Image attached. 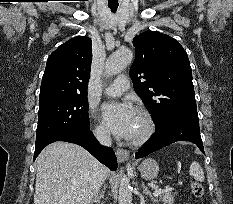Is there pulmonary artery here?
<instances>
[{
	"label": "pulmonary artery",
	"instance_id": "e3ab8cb5",
	"mask_svg": "<svg viewBox=\"0 0 233 204\" xmlns=\"http://www.w3.org/2000/svg\"><path fill=\"white\" fill-rule=\"evenodd\" d=\"M129 88V80L126 76H118L113 83L108 85L104 92L108 96H119Z\"/></svg>",
	"mask_w": 233,
	"mask_h": 204
}]
</instances>
